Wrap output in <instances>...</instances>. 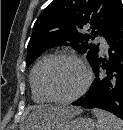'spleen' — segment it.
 <instances>
[{
  "label": "spleen",
  "instance_id": "1",
  "mask_svg": "<svg viewBox=\"0 0 123 130\" xmlns=\"http://www.w3.org/2000/svg\"><path fill=\"white\" fill-rule=\"evenodd\" d=\"M97 117V130H123V121L101 109H93Z\"/></svg>",
  "mask_w": 123,
  "mask_h": 130
}]
</instances>
